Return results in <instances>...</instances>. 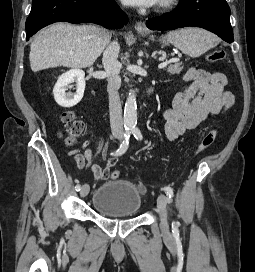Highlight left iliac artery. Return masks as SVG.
<instances>
[{
	"label": "left iliac artery",
	"instance_id": "left-iliac-artery-1",
	"mask_svg": "<svg viewBox=\"0 0 255 272\" xmlns=\"http://www.w3.org/2000/svg\"><path fill=\"white\" fill-rule=\"evenodd\" d=\"M132 134L137 140H142V134L140 130L137 127H133L131 129ZM163 190L165 191L166 195L171 199L173 197V189L171 187H164ZM172 232L174 235H178V228H177V223L173 222L172 223Z\"/></svg>",
	"mask_w": 255,
	"mask_h": 272
}]
</instances>
